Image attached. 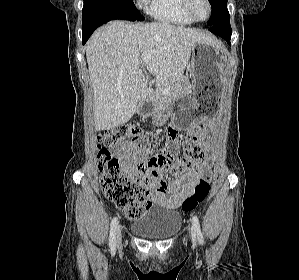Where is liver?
I'll list each match as a JSON object with an SVG mask.
<instances>
[{"label": "liver", "instance_id": "1", "mask_svg": "<svg viewBox=\"0 0 299 280\" xmlns=\"http://www.w3.org/2000/svg\"><path fill=\"white\" fill-rule=\"evenodd\" d=\"M199 31L169 23L114 20L94 32L86 58L94 92L95 130H110L127 123L148 95L141 62L156 84L183 79L192 45L211 42ZM152 51L148 62L141 55Z\"/></svg>", "mask_w": 299, "mask_h": 280}]
</instances>
